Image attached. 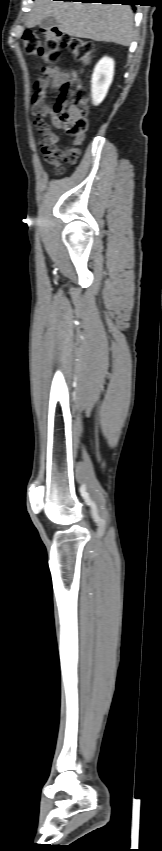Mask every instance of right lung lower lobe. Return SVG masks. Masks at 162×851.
<instances>
[{"label":"right lung lower lobe","instance_id":"right-lung-lower-lobe-1","mask_svg":"<svg viewBox=\"0 0 162 851\" xmlns=\"http://www.w3.org/2000/svg\"><path fill=\"white\" fill-rule=\"evenodd\" d=\"M64 1H76V0H64ZM77 1L91 2V3L99 2V3H103V4L119 3V4H122V5H133V4H135V2L137 0H77Z\"/></svg>","mask_w":162,"mask_h":851}]
</instances>
